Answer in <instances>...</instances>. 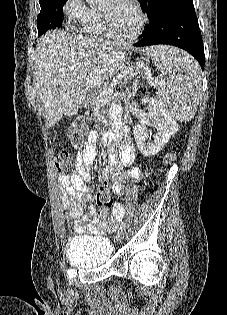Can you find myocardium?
<instances>
[{
    "instance_id": "myocardium-1",
    "label": "myocardium",
    "mask_w": 227,
    "mask_h": 315,
    "mask_svg": "<svg viewBox=\"0 0 227 315\" xmlns=\"http://www.w3.org/2000/svg\"><path fill=\"white\" fill-rule=\"evenodd\" d=\"M127 2L135 10V12H136V14H137V16L139 18V24H138L136 30L130 35L118 34L113 29L107 14L102 12V11L100 12L101 18H102V22H103V25L105 27L106 32L110 36H112V37H114V38H116L118 40H121V41H133V40L137 39L142 34V32L144 31L146 23H147V16L144 13V11L142 10V8L138 5V3L135 0H127Z\"/></svg>"
}]
</instances>
